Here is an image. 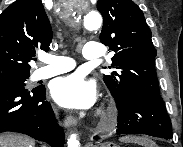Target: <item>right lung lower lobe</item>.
I'll return each mask as SVG.
<instances>
[{
	"mask_svg": "<svg viewBox=\"0 0 183 147\" xmlns=\"http://www.w3.org/2000/svg\"><path fill=\"white\" fill-rule=\"evenodd\" d=\"M18 132L52 147H63L64 131L55 120L45 88L31 91L20 85L0 87V133Z\"/></svg>",
	"mask_w": 183,
	"mask_h": 147,
	"instance_id": "right-lung-lower-lobe-1",
	"label": "right lung lower lobe"
}]
</instances>
